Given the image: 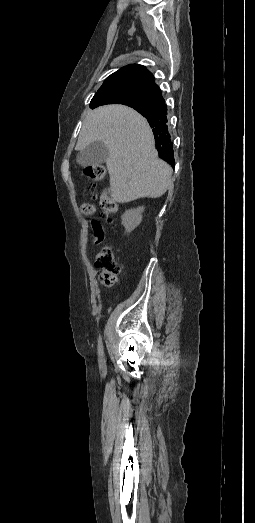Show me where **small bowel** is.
<instances>
[{"label":"small bowel","mask_w":255,"mask_h":523,"mask_svg":"<svg viewBox=\"0 0 255 523\" xmlns=\"http://www.w3.org/2000/svg\"><path fill=\"white\" fill-rule=\"evenodd\" d=\"M91 227L93 230V243L95 245H98L104 240V237H105L104 230H103L101 224L95 220L91 221Z\"/></svg>","instance_id":"small-bowel-1"}]
</instances>
